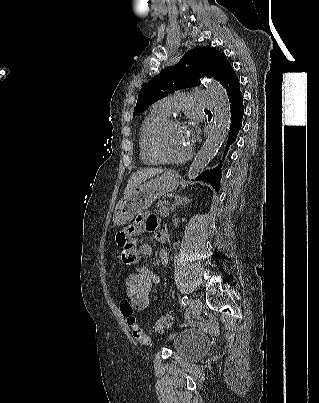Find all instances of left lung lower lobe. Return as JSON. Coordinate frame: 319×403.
<instances>
[{
	"label": "left lung lower lobe",
	"instance_id": "0a47b994",
	"mask_svg": "<svg viewBox=\"0 0 319 403\" xmlns=\"http://www.w3.org/2000/svg\"><path fill=\"white\" fill-rule=\"evenodd\" d=\"M220 83L226 89L231 109V126L228 142L222 159V161H224L229 146L236 140L237 134L242 126L244 107L243 97L240 91V83L231 65L224 71ZM221 165L222 163L215 169L206 170L204 173L200 174L196 180L210 183L216 191H219Z\"/></svg>",
	"mask_w": 319,
	"mask_h": 403
}]
</instances>
